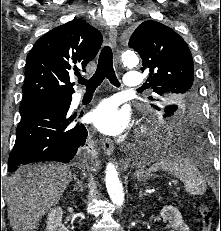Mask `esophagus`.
<instances>
[{"label": "esophagus", "instance_id": "obj_1", "mask_svg": "<svg viewBox=\"0 0 221 231\" xmlns=\"http://www.w3.org/2000/svg\"><path fill=\"white\" fill-rule=\"evenodd\" d=\"M109 44L113 49H116V45H117V30L115 27H111L109 30ZM101 144L103 147V150L105 152V154L107 155H111L113 153L114 150V145L111 142L110 139L108 138H102L101 139Z\"/></svg>", "mask_w": 221, "mask_h": 231}]
</instances>
